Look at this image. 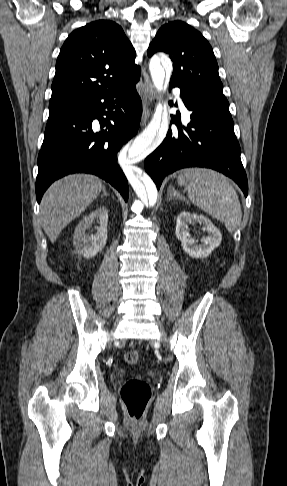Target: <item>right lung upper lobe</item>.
I'll return each instance as SVG.
<instances>
[{
  "label": "right lung upper lobe",
  "mask_w": 287,
  "mask_h": 486,
  "mask_svg": "<svg viewBox=\"0 0 287 486\" xmlns=\"http://www.w3.org/2000/svg\"><path fill=\"white\" fill-rule=\"evenodd\" d=\"M135 50L123 29L98 20L74 30L56 62L50 111H66L93 96L139 80Z\"/></svg>",
  "instance_id": "obj_1"
}]
</instances>
